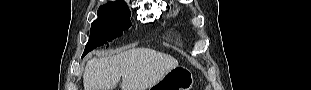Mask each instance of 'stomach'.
<instances>
[{
	"mask_svg": "<svg viewBox=\"0 0 311 90\" xmlns=\"http://www.w3.org/2000/svg\"><path fill=\"white\" fill-rule=\"evenodd\" d=\"M194 84V77L188 68L177 66L170 70L149 90H191Z\"/></svg>",
	"mask_w": 311,
	"mask_h": 90,
	"instance_id": "stomach-1",
	"label": "stomach"
}]
</instances>
